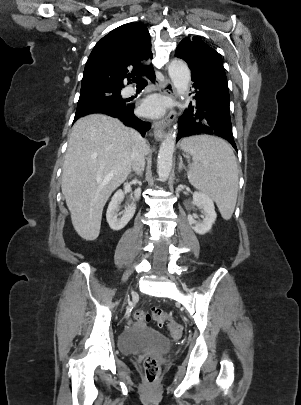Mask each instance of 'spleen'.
<instances>
[{"label":"spleen","mask_w":301,"mask_h":405,"mask_svg":"<svg viewBox=\"0 0 301 405\" xmlns=\"http://www.w3.org/2000/svg\"><path fill=\"white\" fill-rule=\"evenodd\" d=\"M180 146L192 155L187 173L189 182L209 195L222 217L229 220L238 193V166L233 150L223 139L208 135L184 138Z\"/></svg>","instance_id":"spleen-1"}]
</instances>
